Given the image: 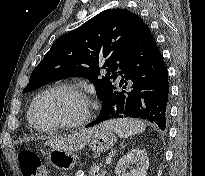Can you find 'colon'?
Returning <instances> with one entry per match:
<instances>
[{"label":"colon","mask_w":205,"mask_h":176,"mask_svg":"<svg viewBox=\"0 0 205 176\" xmlns=\"http://www.w3.org/2000/svg\"><path fill=\"white\" fill-rule=\"evenodd\" d=\"M17 162L22 176H46V167L40 157L31 150H20Z\"/></svg>","instance_id":"obj_1"}]
</instances>
